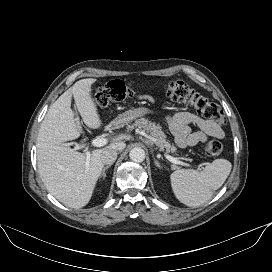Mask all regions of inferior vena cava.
I'll return each instance as SVG.
<instances>
[{
    "label": "inferior vena cava",
    "mask_w": 272,
    "mask_h": 272,
    "mask_svg": "<svg viewBox=\"0 0 272 272\" xmlns=\"http://www.w3.org/2000/svg\"><path fill=\"white\" fill-rule=\"evenodd\" d=\"M117 159V152L112 149H105L101 154V160L104 164L111 165Z\"/></svg>",
    "instance_id": "1"
}]
</instances>
